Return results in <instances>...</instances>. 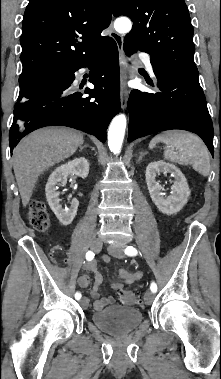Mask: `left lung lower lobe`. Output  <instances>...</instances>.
Returning a JSON list of instances; mask_svg holds the SVG:
<instances>
[{
  "instance_id": "left-lung-lower-lobe-1",
  "label": "left lung lower lobe",
  "mask_w": 221,
  "mask_h": 379,
  "mask_svg": "<svg viewBox=\"0 0 221 379\" xmlns=\"http://www.w3.org/2000/svg\"><path fill=\"white\" fill-rule=\"evenodd\" d=\"M123 48L127 55L139 50L130 41H124ZM151 64L160 92H131L128 141L160 131L183 129L199 135L213 155V125L198 74L173 69L153 60Z\"/></svg>"
}]
</instances>
